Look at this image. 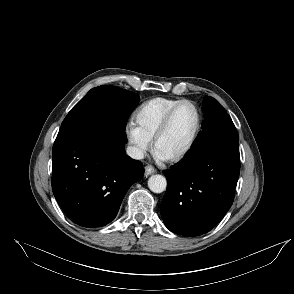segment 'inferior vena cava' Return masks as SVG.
I'll use <instances>...</instances> for the list:
<instances>
[{
	"instance_id": "602c4592",
	"label": "inferior vena cava",
	"mask_w": 294,
	"mask_h": 294,
	"mask_svg": "<svg viewBox=\"0 0 294 294\" xmlns=\"http://www.w3.org/2000/svg\"><path fill=\"white\" fill-rule=\"evenodd\" d=\"M126 153L129 157L136 159V160H140V159L144 158L143 151L136 146H128L126 149Z\"/></svg>"
}]
</instances>
